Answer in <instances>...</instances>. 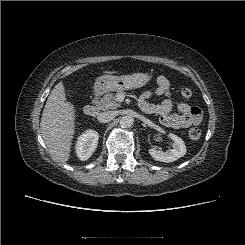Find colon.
Here are the masks:
<instances>
[{
  "instance_id": "5ec220e1",
  "label": "colon",
  "mask_w": 245,
  "mask_h": 245,
  "mask_svg": "<svg viewBox=\"0 0 245 245\" xmlns=\"http://www.w3.org/2000/svg\"><path fill=\"white\" fill-rule=\"evenodd\" d=\"M180 96L183 99H189L192 96V91L187 87H182L180 89ZM201 135H202V133H201V130L199 128L194 127V128H191L189 130V137L192 140L200 139Z\"/></svg>"
}]
</instances>
